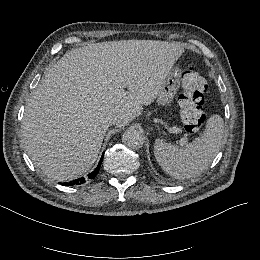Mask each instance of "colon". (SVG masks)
<instances>
[{
  "instance_id": "1",
  "label": "colon",
  "mask_w": 260,
  "mask_h": 260,
  "mask_svg": "<svg viewBox=\"0 0 260 260\" xmlns=\"http://www.w3.org/2000/svg\"><path fill=\"white\" fill-rule=\"evenodd\" d=\"M181 93L179 105L181 119L187 132L197 131L204 123V95L207 92V82L197 68L189 67L180 81Z\"/></svg>"
}]
</instances>
